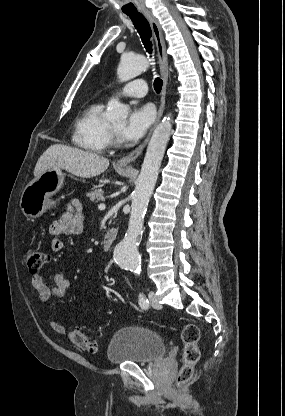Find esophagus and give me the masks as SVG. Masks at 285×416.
Segmentation results:
<instances>
[{"label": "esophagus", "mask_w": 285, "mask_h": 416, "mask_svg": "<svg viewBox=\"0 0 285 416\" xmlns=\"http://www.w3.org/2000/svg\"><path fill=\"white\" fill-rule=\"evenodd\" d=\"M144 17H146V20H148L150 27L152 29L154 38H155V42H156V47H157V54H158V61H159V69H160V73L163 79V86H162V90H161V105L159 107L158 113H157V117L155 120V123L153 125V127L151 128V130L148 133V136L146 137V139L137 147L135 148V150H133L131 153H129L126 156H123L119 161L118 164L120 166H125V165H130V163H132L134 160H136V158H138V156L142 153V151L144 150L145 146L147 145L152 132L154 131V128L156 127V125L159 123L164 109H165V100H166V91H167V84H168V61H167V54H166V47H165V41L163 38V34L162 31L160 29L159 23L156 20V18L154 17V15L151 12H142Z\"/></svg>", "instance_id": "obj_1"}]
</instances>
